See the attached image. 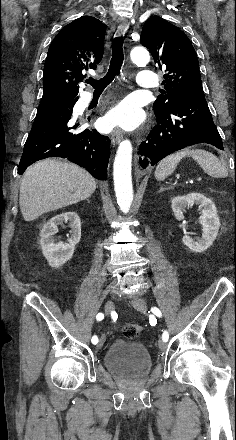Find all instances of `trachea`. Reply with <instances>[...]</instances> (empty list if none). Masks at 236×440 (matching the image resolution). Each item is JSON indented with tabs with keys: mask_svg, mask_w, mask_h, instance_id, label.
Wrapping results in <instances>:
<instances>
[{
	"mask_svg": "<svg viewBox=\"0 0 236 440\" xmlns=\"http://www.w3.org/2000/svg\"><path fill=\"white\" fill-rule=\"evenodd\" d=\"M123 37H116L113 41L112 58L107 74L100 80L88 79L86 82L94 87L95 91H103L116 76H120V70L124 60Z\"/></svg>",
	"mask_w": 236,
	"mask_h": 440,
	"instance_id": "1",
	"label": "trachea"
}]
</instances>
